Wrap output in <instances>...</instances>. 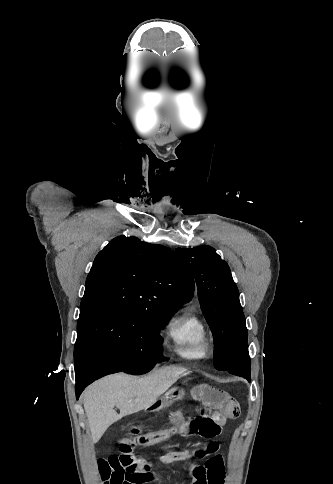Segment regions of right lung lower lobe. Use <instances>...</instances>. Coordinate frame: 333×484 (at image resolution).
<instances>
[{"label":"right lung lower lobe","instance_id":"obj_1","mask_svg":"<svg viewBox=\"0 0 333 484\" xmlns=\"http://www.w3.org/2000/svg\"><path fill=\"white\" fill-rule=\"evenodd\" d=\"M119 371H121V367L116 365L107 354L93 348L88 350L86 359L75 366L77 399L83 389L91 382L104 375Z\"/></svg>","mask_w":333,"mask_h":484}]
</instances>
